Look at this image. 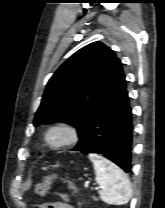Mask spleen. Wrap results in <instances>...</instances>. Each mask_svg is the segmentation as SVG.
<instances>
[{"mask_svg":"<svg viewBox=\"0 0 165 208\" xmlns=\"http://www.w3.org/2000/svg\"><path fill=\"white\" fill-rule=\"evenodd\" d=\"M96 173V182L102 201L107 204L123 205L132 196L130 181L125 173L114 163L95 153L89 154Z\"/></svg>","mask_w":165,"mask_h":208,"instance_id":"3e777b00","label":"spleen"}]
</instances>
